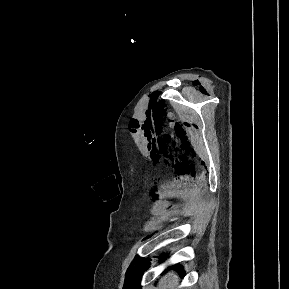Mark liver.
Masks as SVG:
<instances>
[{
  "label": "liver",
  "instance_id": "obj_1",
  "mask_svg": "<svg viewBox=\"0 0 289 289\" xmlns=\"http://www.w3.org/2000/svg\"><path fill=\"white\" fill-rule=\"evenodd\" d=\"M169 276H170V273L165 276V281H167V279H169ZM173 279H174V281L177 282L178 276L176 274H173ZM159 289H163V288L160 287Z\"/></svg>",
  "mask_w": 289,
  "mask_h": 289
}]
</instances>
